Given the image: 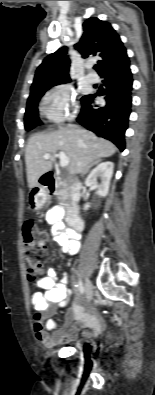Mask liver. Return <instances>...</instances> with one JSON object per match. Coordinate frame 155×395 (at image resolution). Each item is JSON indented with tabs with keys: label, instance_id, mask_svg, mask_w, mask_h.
<instances>
[{
	"label": "liver",
	"instance_id": "6515ba94",
	"mask_svg": "<svg viewBox=\"0 0 155 395\" xmlns=\"http://www.w3.org/2000/svg\"><path fill=\"white\" fill-rule=\"evenodd\" d=\"M116 150L112 142L77 125L68 124L48 134H36L29 139L25 153L28 186L30 189L37 186L39 178L52 169L58 151L69 157V171L76 174L88 171ZM46 153L51 155L49 159L43 158Z\"/></svg>",
	"mask_w": 155,
	"mask_h": 395
}]
</instances>
